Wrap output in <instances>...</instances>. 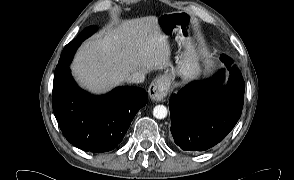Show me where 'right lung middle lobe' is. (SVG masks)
<instances>
[{
    "instance_id": "1",
    "label": "right lung middle lobe",
    "mask_w": 294,
    "mask_h": 180,
    "mask_svg": "<svg viewBox=\"0 0 294 180\" xmlns=\"http://www.w3.org/2000/svg\"><path fill=\"white\" fill-rule=\"evenodd\" d=\"M97 30L96 26H90L85 28L78 36L77 38H75L72 42H70L69 44H67V46L73 44V43H77V42H82L84 41L86 38H88L90 35H92L95 31Z\"/></svg>"
}]
</instances>
